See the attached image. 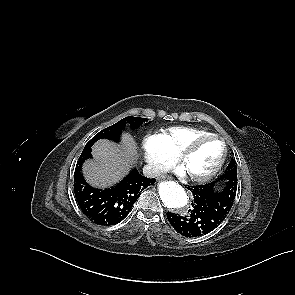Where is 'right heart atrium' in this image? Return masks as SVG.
Masks as SVG:
<instances>
[{
  "label": "right heart atrium",
  "mask_w": 295,
  "mask_h": 295,
  "mask_svg": "<svg viewBox=\"0 0 295 295\" xmlns=\"http://www.w3.org/2000/svg\"><path fill=\"white\" fill-rule=\"evenodd\" d=\"M144 159L154 175L161 174L171 166L176 157L163 146L158 134H149L143 141Z\"/></svg>",
  "instance_id": "d8ad5b80"
}]
</instances>
